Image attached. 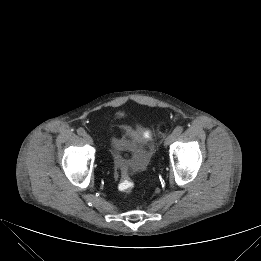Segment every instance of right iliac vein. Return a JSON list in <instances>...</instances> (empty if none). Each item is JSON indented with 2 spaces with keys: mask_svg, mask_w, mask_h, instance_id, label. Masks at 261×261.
I'll use <instances>...</instances> for the list:
<instances>
[{
  "mask_svg": "<svg viewBox=\"0 0 261 261\" xmlns=\"http://www.w3.org/2000/svg\"><path fill=\"white\" fill-rule=\"evenodd\" d=\"M84 139H85V141H86L89 145H92V144H93V139H92V137H91L89 134H85V135H84Z\"/></svg>",
  "mask_w": 261,
  "mask_h": 261,
  "instance_id": "obj_1",
  "label": "right iliac vein"
}]
</instances>
